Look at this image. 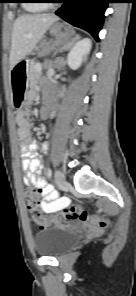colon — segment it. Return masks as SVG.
Here are the masks:
<instances>
[{"label":"colon","instance_id":"colon-1","mask_svg":"<svg viewBox=\"0 0 136 296\" xmlns=\"http://www.w3.org/2000/svg\"><path fill=\"white\" fill-rule=\"evenodd\" d=\"M41 192L28 190L26 192V204L34 221L41 226H57L69 220H80L99 227H107L109 222L102 216H92L78 204H68L62 210L50 215H43L40 208Z\"/></svg>","mask_w":136,"mask_h":296}]
</instances>
